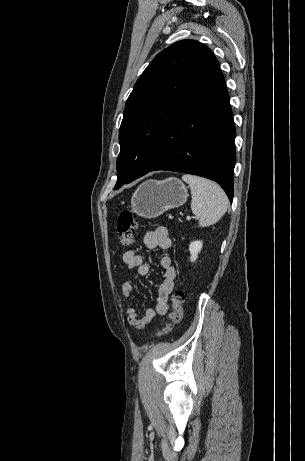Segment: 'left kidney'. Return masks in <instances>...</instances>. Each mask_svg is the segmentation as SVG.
I'll return each instance as SVG.
<instances>
[{
    "label": "left kidney",
    "mask_w": 305,
    "mask_h": 461,
    "mask_svg": "<svg viewBox=\"0 0 305 461\" xmlns=\"http://www.w3.org/2000/svg\"><path fill=\"white\" fill-rule=\"evenodd\" d=\"M203 246L202 241H193L189 245V251L191 254L190 260L194 262L198 258V253L201 251Z\"/></svg>",
    "instance_id": "5707ae66"
}]
</instances>
